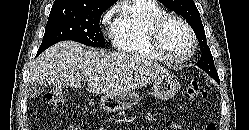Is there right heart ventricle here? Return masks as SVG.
Here are the masks:
<instances>
[{
    "mask_svg": "<svg viewBox=\"0 0 249 130\" xmlns=\"http://www.w3.org/2000/svg\"><path fill=\"white\" fill-rule=\"evenodd\" d=\"M165 14L155 0H132L121 8L112 27L114 47L132 56L161 59L152 45L151 28Z\"/></svg>",
    "mask_w": 249,
    "mask_h": 130,
    "instance_id": "right-heart-ventricle-1",
    "label": "right heart ventricle"
}]
</instances>
